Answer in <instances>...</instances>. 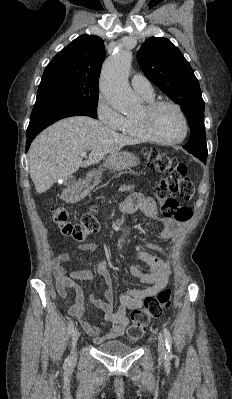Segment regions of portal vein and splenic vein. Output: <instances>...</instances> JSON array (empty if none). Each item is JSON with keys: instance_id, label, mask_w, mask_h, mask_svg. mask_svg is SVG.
Here are the masks:
<instances>
[{"instance_id": "portal-vein-and-splenic-vein-1", "label": "portal vein and splenic vein", "mask_w": 232, "mask_h": 399, "mask_svg": "<svg viewBox=\"0 0 232 399\" xmlns=\"http://www.w3.org/2000/svg\"><path fill=\"white\" fill-rule=\"evenodd\" d=\"M87 152H81V156L80 158H84V156H86Z\"/></svg>"}]
</instances>
